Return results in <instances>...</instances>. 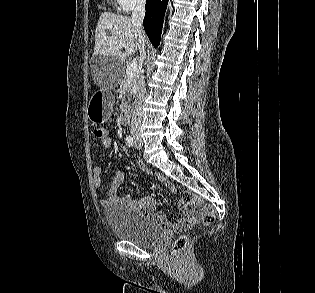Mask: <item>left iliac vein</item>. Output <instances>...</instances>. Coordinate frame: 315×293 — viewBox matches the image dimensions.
<instances>
[{
  "label": "left iliac vein",
  "mask_w": 315,
  "mask_h": 293,
  "mask_svg": "<svg viewBox=\"0 0 315 293\" xmlns=\"http://www.w3.org/2000/svg\"><path fill=\"white\" fill-rule=\"evenodd\" d=\"M135 148L138 149V150L142 148V141H141V139L137 138L136 143H135Z\"/></svg>",
  "instance_id": "obj_1"
}]
</instances>
